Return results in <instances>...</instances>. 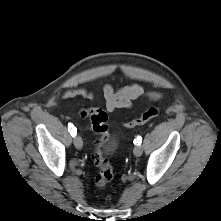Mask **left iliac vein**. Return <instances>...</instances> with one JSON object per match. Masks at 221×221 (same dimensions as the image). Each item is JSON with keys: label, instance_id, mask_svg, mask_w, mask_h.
<instances>
[{"label": "left iliac vein", "instance_id": "4c4485c4", "mask_svg": "<svg viewBox=\"0 0 221 221\" xmlns=\"http://www.w3.org/2000/svg\"><path fill=\"white\" fill-rule=\"evenodd\" d=\"M133 152H134V155H135V156H137V157L141 156L142 153H143V148H142V146H141V145H136L135 148H134V150H133Z\"/></svg>", "mask_w": 221, "mask_h": 221}]
</instances>
